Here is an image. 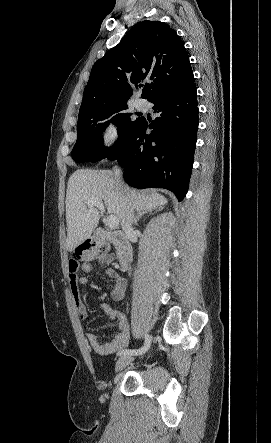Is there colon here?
<instances>
[{
  "mask_svg": "<svg viewBox=\"0 0 271 443\" xmlns=\"http://www.w3.org/2000/svg\"><path fill=\"white\" fill-rule=\"evenodd\" d=\"M109 257V246L100 239H88L80 244L73 252L74 263H84L94 259H107Z\"/></svg>",
  "mask_w": 271,
  "mask_h": 443,
  "instance_id": "5ec220e1",
  "label": "colon"
}]
</instances>
